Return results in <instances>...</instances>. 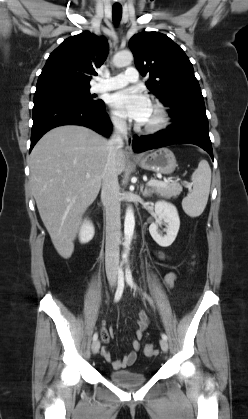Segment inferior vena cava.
I'll list each match as a JSON object with an SVG mask.
<instances>
[{"mask_svg":"<svg viewBox=\"0 0 248 419\" xmlns=\"http://www.w3.org/2000/svg\"><path fill=\"white\" fill-rule=\"evenodd\" d=\"M113 133L108 141V157L103 172L101 199L106 210L105 265L108 276L116 277L119 266V244L121 237L120 197L117 154L122 150L127 137V124L123 119L112 117Z\"/></svg>","mask_w":248,"mask_h":419,"instance_id":"obj_1","label":"inferior vena cava"}]
</instances>
